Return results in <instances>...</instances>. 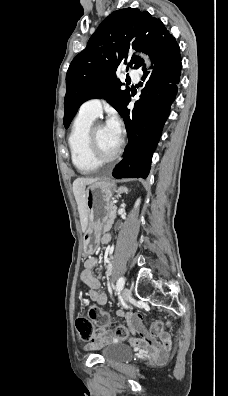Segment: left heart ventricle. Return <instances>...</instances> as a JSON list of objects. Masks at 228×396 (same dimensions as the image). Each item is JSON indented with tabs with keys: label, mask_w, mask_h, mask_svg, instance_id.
I'll return each mask as SVG.
<instances>
[{
	"label": "left heart ventricle",
	"mask_w": 228,
	"mask_h": 396,
	"mask_svg": "<svg viewBox=\"0 0 228 396\" xmlns=\"http://www.w3.org/2000/svg\"><path fill=\"white\" fill-rule=\"evenodd\" d=\"M96 141L100 154L105 157L112 155L119 144V139L111 133L106 125L97 129Z\"/></svg>",
	"instance_id": "obj_1"
}]
</instances>
